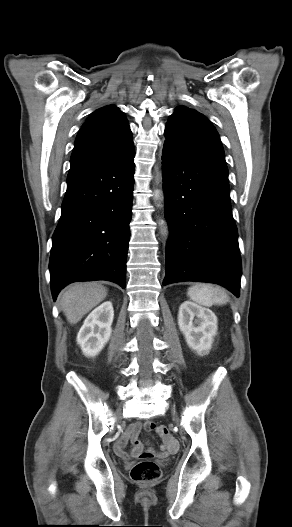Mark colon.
Segmentation results:
<instances>
[{
    "label": "colon",
    "mask_w": 292,
    "mask_h": 527,
    "mask_svg": "<svg viewBox=\"0 0 292 527\" xmlns=\"http://www.w3.org/2000/svg\"><path fill=\"white\" fill-rule=\"evenodd\" d=\"M154 424L152 422H146L144 424L145 430L153 429ZM169 433V432H168ZM144 459L136 463L131 470V478L140 483H152L159 479L160 468L152 460Z\"/></svg>",
    "instance_id": "5ec220e1"
}]
</instances>
